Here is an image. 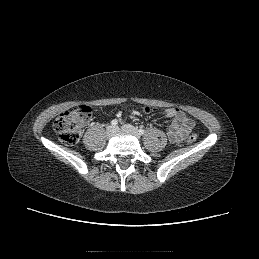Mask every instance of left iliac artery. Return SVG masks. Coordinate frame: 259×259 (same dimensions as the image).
<instances>
[{
  "instance_id": "left-iliac-artery-1",
  "label": "left iliac artery",
  "mask_w": 259,
  "mask_h": 259,
  "mask_svg": "<svg viewBox=\"0 0 259 259\" xmlns=\"http://www.w3.org/2000/svg\"><path fill=\"white\" fill-rule=\"evenodd\" d=\"M138 132L140 135H143L145 133L143 129H139Z\"/></svg>"
}]
</instances>
